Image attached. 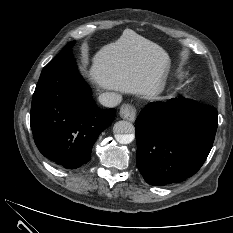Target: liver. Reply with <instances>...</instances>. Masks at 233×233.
I'll return each instance as SVG.
<instances>
[{"instance_id": "liver-1", "label": "liver", "mask_w": 233, "mask_h": 233, "mask_svg": "<svg viewBox=\"0 0 233 233\" xmlns=\"http://www.w3.org/2000/svg\"><path fill=\"white\" fill-rule=\"evenodd\" d=\"M169 66L161 46L125 30L95 54L88 77L102 89L153 99L163 89Z\"/></svg>"}]
</instances>
